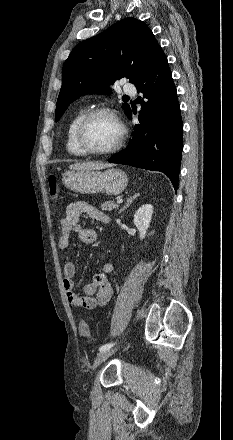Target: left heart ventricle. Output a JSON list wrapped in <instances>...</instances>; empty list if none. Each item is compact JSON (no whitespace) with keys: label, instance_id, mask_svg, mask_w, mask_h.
Instances as JSON below:
<instances>
[{"label":"left heart ventricle","instance_id":"left-heart-ventricle-1","mask_svg":"<svg viewBox=\"0 0 233 440\" xmlns=\"http://www.w3.org/2000/svg\"><path fill=\"white\" fill-rule=\"evenodd\" d=\"M119 136L116 122L108 115H97L87 124L84 131V142L95 150H106L112 147Z\"/></svg>","mask_w":233,"mask_h":440}]
</instances>
